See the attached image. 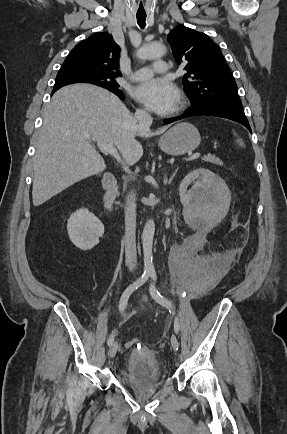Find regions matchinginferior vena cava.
<instances>
[{
	"label": "inferior vena cava",
	"instance_id": "inferior-vena-cava-1",
	"mask_svg": "<svg viewBox=\"0 0 287 434\" xmlns=\"http://www.w3.org/2000/svg\"><path fill=\"white\" fill-rule=\"evenodd\" d=\"M135 118L138 120L142 128H149L152 124V117L145 110H137ZM136 197L134 192H131L126 200L125 206V263L130 271H133L137 265L136 251Z\"/></svg>",
	"mask_w": 287,
	"mask_h": 434
}]
</instances>
